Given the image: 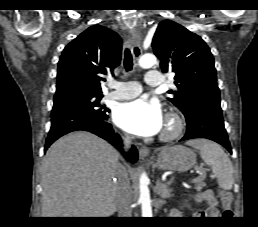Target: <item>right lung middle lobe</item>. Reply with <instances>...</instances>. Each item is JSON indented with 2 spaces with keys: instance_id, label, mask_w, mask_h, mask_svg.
Here are the masks:
<instances>
[{
  "instance_id": "1",
  "label": "right lung middle lobe",
  "mask_w": 258,
  "mask_h": 227,
  "mask_svg": "<svg viewBox=\"0 0 258 227\" xmlns=\"http://www.w3.org/2000/svg\"><path fill=\"white\" fill-rule=\"evenodd\" d=\"M101 93L71 89L56 93L52 111L75 109L92 115L98 119H107L109 110L100 105Z\"/></svg>"
}]
</instances>
